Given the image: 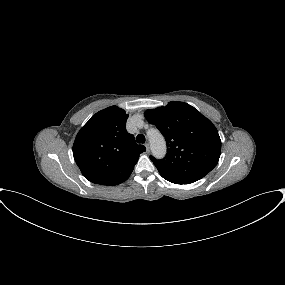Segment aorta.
<instances>
[{
	"label": "aorta",
	"mask_w": 285,
	"mask_h": 285,
	"mask_svg": "<svg viewBox=\"0 0 285 285\" xmlns=\"http://www.w3.org/2000/svg\"><path fill=\"white\" fill-rule=\"evenodd\" d=\"M149 141L153 155L157 158H162L166 153V143L164 137L157 129L149 132Z\"/></svg>",
	"instance_id": "762f6f07"
}]
</instances>
